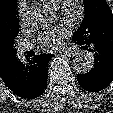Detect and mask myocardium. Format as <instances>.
<instances>
[{
  "label": "myocardium",
  "mask_w": 113,
  "mask_h": 113,
  "mask_svg": "<svg viewBox=\"0 0 113 113\" xmlns=\"http://www.w3.org/2000/svg\"><path fill=\"white\" fill-rule=\"evenodd\" d=\"M57 13L71 25H77L83 18L84 3L82 0H59Z\"/></svg>",
  "instance_id": "f54148a6"
}]
</instances>
